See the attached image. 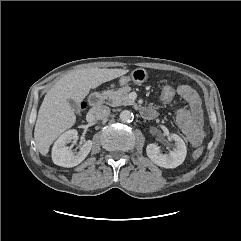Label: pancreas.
I'll list each match as a JSON object with an SVG mask.
<instances>
[{
    "label": "pancreas",
    "mask_w": 241,
    "mask_h": 241,
    "mask_svg": "<svg viewBox=\"0 0 241 241\" xmlns=\"http://www.w3.org/2000/svg\"><path fill=\"white\" fill-rule=\"evenodd\" d=\"M131 88L128 86L119 88L116 91L108 90L104 92L107 104L110 106L133 105L134 102L129 99V92Z\"/></svg>",
    "instance_id": "obj_1"
}]
</instances>
